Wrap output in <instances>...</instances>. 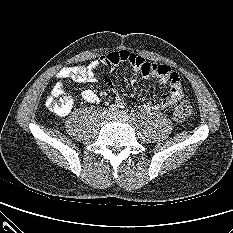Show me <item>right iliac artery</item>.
I'll list each match as a JSON object with an SVG mask.
<instances>
[{"label":"right iliac artery","mask_w":233,"mask_h":233,"mask_svg":"<svg viewBox=\"0 0 233 233\" xmlns=\"http://www.w3.org/2000/svg\"><path fill=\"white\" fill-rule=\"evenodd\" d=\"M115 110H116V106H115V105H111V106L109 107V111L113 112V111H115Z\"/></svg>","instance_id":"obj_1"}]
</instances>
